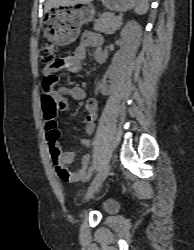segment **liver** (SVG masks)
<instances>
[{"mask_svg":"<svg viewBox=\"0 0 194 250\" xmlns=\"http://www.w3.org/2000/svg\"><path fill=\"white\" fill-rule=\"evenodd\" d=\"M93 0H47L45 4V12L49 11L52 7L57 6H74L77 4L90 3Z\"/></svg>","mask_w":194,"mask_h":250,"instance_id":"1","label":"liver"}]
</instances>
